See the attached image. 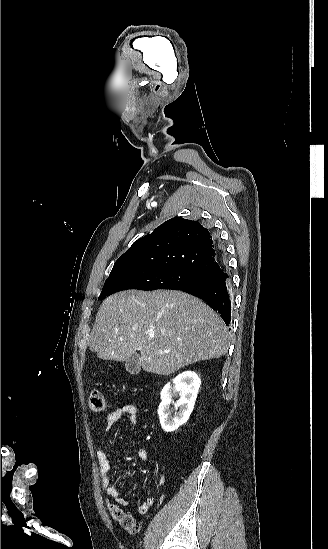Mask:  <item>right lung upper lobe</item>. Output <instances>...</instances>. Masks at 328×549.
Returning a JSON list of instances; mask_svg holds the SVG:
<instances>
[{
  "mask_svg": "<svg viewBox=\"0 0 328 549\" xmlns=\"http://www.w3.org/2000/svg\"><path fill=\"white\" fill-rule=\"evenodd\" d=\"M215 237L199 222L174 217L133 243L111 272L133 265L191 270L206 278L222 272L223 258Z\"/></svg>",
  "mask_w": 328,
  "mask_h": 549,
  "instance_id": "cb5924a9",
  "label": "right lung upper lobe"
}]
</instances>
